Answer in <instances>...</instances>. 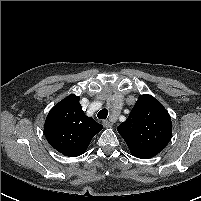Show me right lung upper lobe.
Wrapping results in <instances>:
<instances>
[{
    "instance_id": "obj_1",
    "label": "right lung upper lobe",
    "mask_w": 201,
    "mask_h": 201,
    "mask_svg": "<svg viewBox=\"0 0 201 201\" xmlns=\"http://www.w3.org/2000/svg\"><path fill=\"white\" fill-rule=\"evenodd\" d=\"M80 97L69 95L48 113L44 134L50 145L65 156L83 154L91 139L103 126L87 117L79 103Z\"/></svg>"
}]
</instances>
